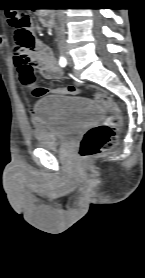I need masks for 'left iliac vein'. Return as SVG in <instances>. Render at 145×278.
Instances as JSON below:
<instances>
[{"mask_svg": "<svg viewBox=\"0 0 145 278\" xmlns=\"http://www.w3.org/2000/svg\"><path fill=\"white\" fill-rule=\"evenodd\" d=\"M72 63L71 57H68V64L70 65Z\"/></svg>", "mask_w": 145, "mask_h": 278, "instance_id": "obj_1", "label": "left iliac vein"}]
</instances>
